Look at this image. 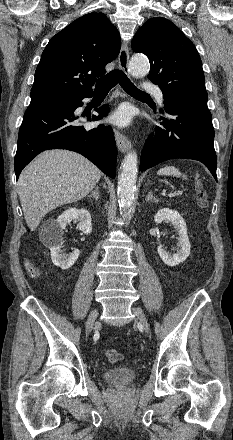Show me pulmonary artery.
Here are the masks:
<instances>
[{"instance_id": "1", "label": "pulmonary artery", "mask_w": 233, "mask_h": 440, "mask_svg": "<svg viewBox=\"0 0 233 440\" xmlns=\"http://www.w3.org/2000/svg\"><path fill=\"white\" fill-rule=\"evenodd\" d=\"M144 89L150 93H153L160 103L163 102L164 95L158 86H155L152 84H147V85H145Z\"/></svg>"}]
</instances>
